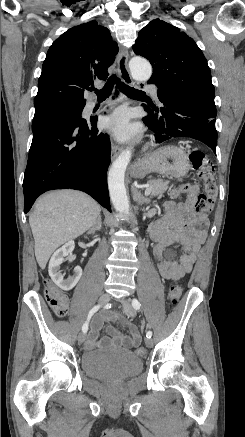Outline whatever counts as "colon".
Wrapping results in <instances>:
<instances>
[{"label": "colon", "instance_id": "1", "mask_svg": "<svg viewBox=\"0 0 245 437\" xmlns=\"http://www.w3.org/2000/svg\"><path fill=\"white\" fill-rule=\"evenodd\" d=\"M189 159L198 176L204 181V193H198L197 187L192 184H185L175 191V196L186 195L194 202L197 211L209 213L212 211L217 196V185L214 178V169L207 156L199 150L192 151ZM182 289L179 285L174 284L169 288L168 301L175 305L180 300ZM45 298L51 308L59 316H64L68 312L69 298L58 287L50 281L46 282ZM135 353L144 357L146 349L138 346Z\"/></svg>", "mask_w": 245, "mask_h": 437}]
</instances>
